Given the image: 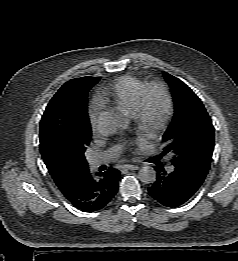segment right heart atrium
<instances>
[{"mask_svg":"<svg viewBox=\"0 0 238 261\" xmlns=\"http://www.w3.org/2000/svg\"><path fill=\"white\" fill-rule=\"evenodd\" d=\"M98 116H99V107L94 105L89 113L90 123L93 128H96Z\"/></svg>","mask_w":238,"mask_h":261,"instance_id":"obj_1","label":"right heart atrium"}]
</instances>
